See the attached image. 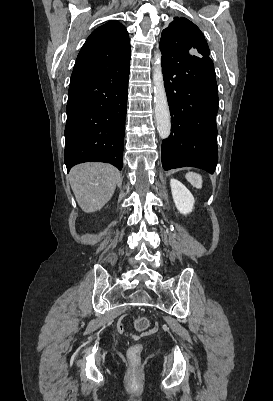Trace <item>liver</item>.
Masks as SVG:
<instances>
[{
	"label": "liver",
	"mask_w": 273,
	"mask_h": 401,
	"mask_svg": "<svg viewBox=\"0 0 273 401\" xmlns=\"http://www.w3.org/2000/svg\"><path fill=\"white\" fill-rule=\"evenodd\" d=\"M70 184L76 201L85 213L100 211L121 180V174L112 164L85 162L70 170Z\"/></svg>",
	"instance_id": "liver-1"
}]
</instances>
